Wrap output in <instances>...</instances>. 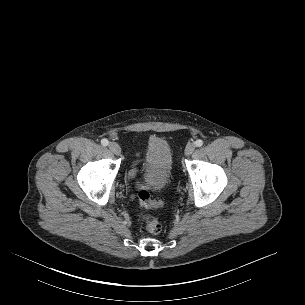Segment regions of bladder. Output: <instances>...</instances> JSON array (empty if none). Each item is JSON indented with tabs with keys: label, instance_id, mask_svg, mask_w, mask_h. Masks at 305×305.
<instances>
[{
	"label": "bladder",
	"instance_id": "1",
	"mask_svg": "<svg viewBox=\"0 0 305 305\" xmlns=\"http://www.w3.org/2000/svg\"><path fill=\"white\" fill-rule=\"evenodd\" d=\"M143 163L149 186L161 189L173 179V154L169 143L151 137L144 145Z\"/></svg>",
	"mask_w": 305,
	"mask_h": 305
}]
</instances>
